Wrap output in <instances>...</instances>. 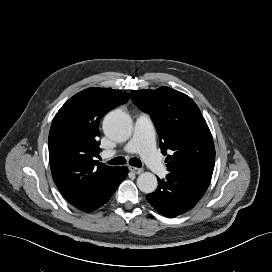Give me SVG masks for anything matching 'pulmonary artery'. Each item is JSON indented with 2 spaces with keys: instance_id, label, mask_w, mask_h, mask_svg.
<instances>
[{
  "instance_id": "1",
  "label": "pulmonary artery",
  "mask_w": 272,
  "mask_h": 272,
  "mask_svg": "<svg viewBox=\"0 0 272 272\" xmlns=\"http://www.w3.org/2000/svg\"><path fill=\"white\" fill-rule=\"evenodd\" d=\"M126 153H139L153 173L159 177L166 174V167L161 161L154 144V130L148 114L141 113L135 122V130L130 141L123 147ZM115 151L110 154H114Z\"/></svg>"
}]
</instances>
